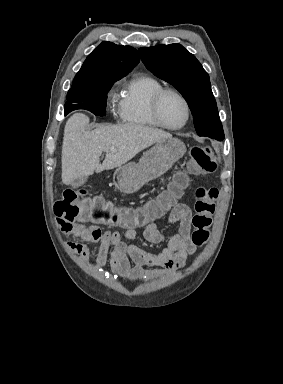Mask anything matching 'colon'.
Here are the masks:
<instances>
[{"label": "colon", "mask_w": 283, "mask_h": 384, "mask_svg": "<svg viewBox=\"0 0 283 384\" xmlns=\"http://www.w3.org/2000/svg\"><path fill=\"white\" fill-rule=\"evenodd\" d=\"M191 170L194 174L213 173L218 165L214 152L207 146L191 149ZM171 191L142 207H116L102 198H89L84 190L67 189L55 203V215L64 226L70 227L84 223L101 224L123 229H136L151 223L161 216L175 200ZM218 190L215 187H200L196 191L195 214L192 218L194 231L192 241L196 246L206 243L209 227L215 212Z\"/></svg>", "instance_id": "colon-1"}]
</instances>
